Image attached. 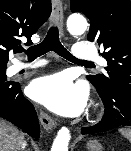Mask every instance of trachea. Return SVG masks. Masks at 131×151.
Wrapping results in <instances>:
<instances>
[{"label":"trachea","instance_id":"trachea-1","mask_svg":"<svg viewBox=\"0 0 131 151\" xmlns=\"http://www.w3.org/2000/svg\"><path fill=\"white\" fill-rule=\"evenodd\" d=\"M49 51H54L59 56L71 62L93 65L91 62L82 61L75 58L68 50H66L59 40V32L57 27H51L41 43L24 50L28 56V59L30 60H34Z\"/></svg>","mask_w":131,"mask_h":151}]
</instances>
